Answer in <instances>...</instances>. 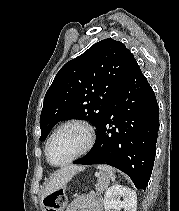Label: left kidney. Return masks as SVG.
Instances as JSON below:
<instances>
[{
    "mask_svg": "<svg viewBox=\"0 0 179 211\" xmlns=\"http://www.w3.org/2000/svg\"><path fill=\"white\" fill-rule=\"evenodd\" d=\"M123 198V200L120 199ZM105 211H136L137 195L130 188L114 185L107 188L104 195Z\"/></svg>",
    "mask_w": 179,
    "mask_h": 211,
    "instance_id": "obj_1",
    "label": "left kidney"
}]
</instances>
